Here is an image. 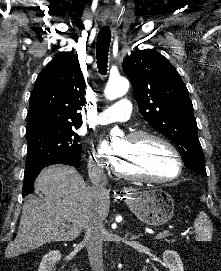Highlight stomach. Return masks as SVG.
<instances>
[{"label": "stomach", "mask_w": 221, "mask_h": 271, "mask_svg": "<svg viewBox=\"0 0 221 271\" xmlns=\"http://www.w3.org/2000/svg\"><path fill=\"white\" fill-rule=\"evenodd\" d=\"M125 201L132 213L148 223V225H163L171 219L174 213V201L162 189H128L125 191Z\"/></svg>", "instance_id": "1"}]
</instances>
